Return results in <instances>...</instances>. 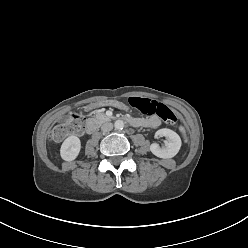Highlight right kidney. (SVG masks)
Wrapping results in <instances>:
<instances>
[{"mask_svg":"<svg viewBox=\"0 0 248 248\" xmlns=\"http://www.w3.org/2000/svg\"><path fill=\"white\" fill-rule=\"evenodd\" d=\"M80 149V139L75 135H71L62 143L60 149L61 158L65 161H73L78 156Z\"/></svg>","mask_w":248,"mask_h":248,"instance_id":"obj_1","label":"right kidney"}]
</instances>
